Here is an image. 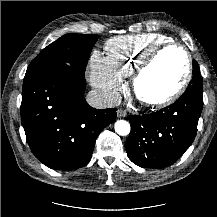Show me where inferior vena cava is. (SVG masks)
I'll return each instance as SVG.
<instances>
[{"label":"inferior vena cava","mask_w":217,"mask_h":217,"mask_svg":"<svg viewBox=\"0 0 217 217\" xmlns=\"http://www.w3.org/2000/svg\"><path fill=\"white\" fill-rule=\"evenodd\" d=\"M86 101L93 108L104 109L119 105L121 99L117 92L93 89L88 92Z\"/></svg>","instance_id":"obj_1"}]
</instances>
